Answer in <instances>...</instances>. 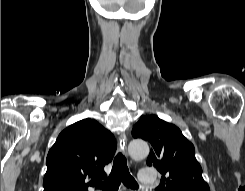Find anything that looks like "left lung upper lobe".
Returning a JSON list of instances; mask_svg holds the SVG:
<instances>
[{
    "mask_svg": "<svg viewBox=\"0 0 245 191\" xmlns=\"http://www.w3.org/2000/svg\"><path fill=\"white\" fill-rule=\"evenodd\" d=\"M132 136L151 144L147 165L162 174V191H210L195 158L194 145L176 125L148 115L135 124Z\"/></svg>",
    "mask_w": 245,
    "mask_h": 191,
    "instance_id": "1",
    "label": "left lung upper lobe"
}]
</instances>
